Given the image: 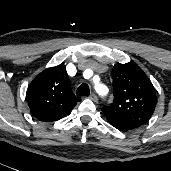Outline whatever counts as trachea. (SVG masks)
<instances>
[{
  "mask_svg": "<svg viewBox=\"0 0 171 171\" xmlns=\"http://www.w3.org/2000/svg\"><path fill=\"white\" fill-rule=\"evenodd\" d=\"M76 94L78 96H89L90 94V89L87 84H81L76 91Z\"/></svg>",
  "mask_w": 171,
  "mask_h": 171,
  "instance_id": "1",
  "label": "trachea"
}]
</instances>
